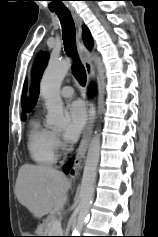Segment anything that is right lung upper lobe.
<instances>
[{
    "label": "right lung upper lobe",
    "instance_id": "right-lung-upper-lobe-1",
    "mask_svg": "<svg viewBox=\"0 0 158 237\" xmlns=\"http://www.w3.org/2000/svg\"><path fill=\"white\" fill-rule=\"evenodd\" d=\"M82 37H83V41H84L85 45L87 46V48L91 49L93 46V42H92L89 30L86 26L83 28ZM47 61H48V54L46 52L42 53L41 56H39L36 60V63H35L34 69H33V73H32L33 83L30 88L31 98L26 99L24 101V104H23V112L24 113L31 111L38 99L39 80L42 76V72H43L44 68L47 65ZM22 116H25V115H22Z\"/></svg>",
    "mask_w": 158,
    "mask_h": 237
}]
</instances>
